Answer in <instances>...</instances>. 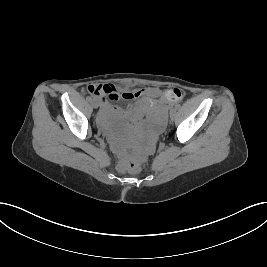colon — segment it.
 Masks as SVG:
<instances>
[{
  "label": "colon",
  "instance_id": "colon-1",
  "mask_svg": "<svg viewBox=\"0 0 267 267\" xmlns=\"http://www.w3.org/2000/svg\"><path fill=\"white\" fill-rule=\"evenodd\" d=\"M93 86V93L102 94L112 100H118L120 98V94L115 91L113 87L107 85H91ZM172 97L175 100H180L182 98V93L178 89H173L170 91ZM120 167L127 170L128 172H137L139 170V165L127 160L120 161Z\"/></svg>",
  "mask_w": 267,
  "mask_h": 267
}]
</instances>
